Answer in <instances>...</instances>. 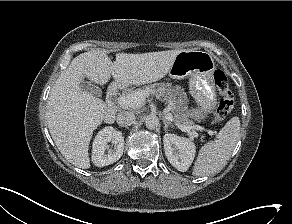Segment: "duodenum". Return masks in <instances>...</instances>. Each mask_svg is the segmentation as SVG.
Listing matches in <instances>:
<instances>
[{
    "label": "duodenum",
    "instance_id": "1",
    "mask_svg": "<svg viewBox=\"0 0 292 224\" xmlns=\"http://www.w3.org/2000/svg\"><path fill=\"white\" fill-rule=\"evenodd\" d=\"M118 92V86L112 85L108 90V99L112 98Z\"/></svg>",
    "mask_w": 292,
    "mask_h": 224
}]
</instances>
